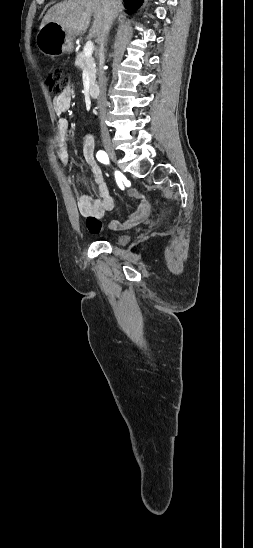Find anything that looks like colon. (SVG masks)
Wrapping results in <instances>:
<instances>
[{
  "label": "colon",
  "instance_id": "colon-1",
  "mask_svg": "<svg viewBox=\"0 0 253 548\" xmlns=\"http://www.w3.org/2000/svg\"><path fill=\"white\" fill-rule=\"evenodd\" d=\"M46 82L50 92L59 95L66 90L69 78L61 68L52 67L48 71Z\"/></svg>",
  "mask_w": 253,
  "mask_h": 548
}]
</instances>
